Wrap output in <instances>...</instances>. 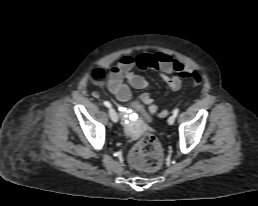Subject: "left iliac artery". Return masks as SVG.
<instances>
[{"label":"left iliac artery","instance_id":"44dca946","mask_svg":"<svg viewBox=\"0 0 258 206\" xmlns=\"http://www.w3.org/2000/svg\"><path fill=\"white\" fill-rule=\"evenodd\" d=\"M178 113H179V109H178V108L174 109V111H173V115H174V116H177V115H178Z\"/></svg>","mask_w":258,"mask_h":206}]
</instances>
